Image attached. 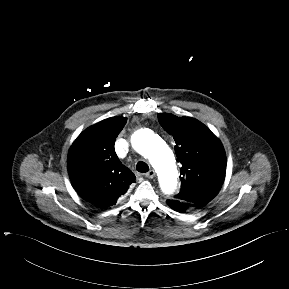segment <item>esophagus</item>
Instances as JSON below:
<instances>
[{
	"label": "esophagus",
	"instance_id": "esophagus-1",
	"mask_svg": "<svg viewBox=\"0 0 289 289\" xmlns=\"http://www.w3.org/2000/svg\"><path fill=\"white\" fill-rule=\"evenodd\" d=\"M155 176V171L154 170H150L149 172H147L145 174V177L152 179Z\"/></svg>",
	"mask_w": 289,
	"mask_h": 289
}]
</instances>
